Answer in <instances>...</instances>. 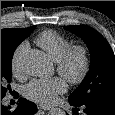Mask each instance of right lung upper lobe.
<instances>
[{
    "mask_svg": "<svg viewBox=\"0 0 115 115\" xmlns=\"http://www.w3.org/2000/svg\"><path fill=\"white\" fill-rule=\"evenodd\" d=\"M35 26L26 29L7 28L1 30V45H19ZM30 33V34H29Z\"/></svg>",
    "mask_w": 115,
    "mask_h": 115,
    "instance_id": "1",
    "label": "right lung upper lobe"
}]
</instances>
